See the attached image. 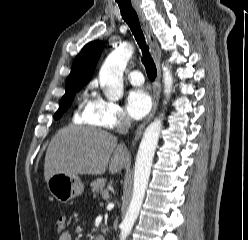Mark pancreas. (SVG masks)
Here are the masks:
<instances>
[{
  "label": "pancreas",
  "instance_id": "obj_1",
  "mask_svg": "<svg viewBox=\"0 0 248 240\" xmlns=\"http://www.w3.org/2000/svg\"><path fill=\"white\" fill-rule=\"evenodd\" d=\"M92 187V192H93V196L96 197L97 193H103L104 190V186H105V179L104 178H98L95 181H93L91 184Z\"/></svg>",
  "mask_w": 248,
  "mask_h": 240
}]
</instances>
